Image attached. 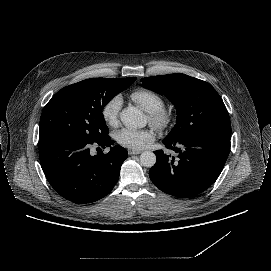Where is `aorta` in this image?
<instances>
[{
    "instance_id": "762f6f07",
    "label": "aorta",
    "mask_w": 271,
    "mask_h": 271,
    "mask_svg": "<svg viewBox=\"0 0 271 271\" xmlns=\"http://www.w3.org/2000/svg\"><path fill=\"white\" fill-rule=\"evenodd\" d=\"M123 125L128 129L144 128L147 125V116L140 108L126 106L119 113ZM140 162L146 168H151L156 163V155L151 151H145L140 155Z\"/></svg>"
}]
</instances>
